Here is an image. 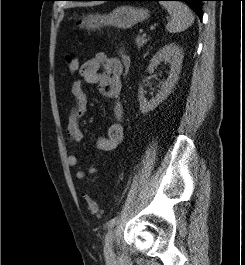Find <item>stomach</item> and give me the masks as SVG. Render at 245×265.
<instances>
[{
    "label": "stomach",
    "mask_w": 245,
    "mask_h": 265,
    "mask_svg": "<svg viewBox=\"0 0 245 265\" xmlns=\"http://www.w3.org/2000/svg\"><path fill=\"white\" fill-rule=\"evenodd\" d=\"M148 17L149 13L147 9L126 5L117 7L109 14L101 15L96 13L78 17L75 22V27L88 30H95L103 26L127 29L144 21Z\"/></svg>",
    "instance_id": "1"
}]
</instances>
